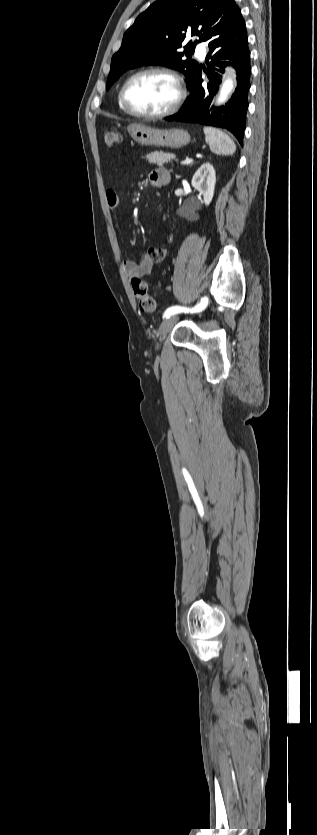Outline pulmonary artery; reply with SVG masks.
<instances>
[{
	"instance_id": "1",
	"label": "pulmonary artery",
	"mask_w": 317,
	"mask_h": 835,
	"mask_svg": "<svg viewBox=\"0 0 317 835\" xmlns=\"http://www.w3.org/2000/svg\"><path fill=\"white\" fill-rule=\"evenodd\" d=\"M206 51H207L206 46L203 43H199V44H197V46L195 48V55L199 59L203 60L205 58Z\"/></svg>"
}]
</instances>
